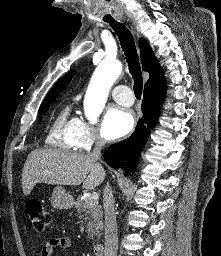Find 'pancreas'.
I'll use <instances>...</instances> for the list:
<instances>
[{
  "label": "pancreas",
  "mask_w": 221,
  "mask_h": 256,
  "mask_svg": "<svg viewBox=\"0 0 221 256\" xmlns=\"http://www.w3.org/2000/svg\"><path fill=\"white\" fill-rule=\"evenodd\" d=\"M75 208L80 217L84 218L86 221L88 220L86 224L88 238L94 239V237H99L100 230L103 227V212L101 205L90 199V197L84 199L78 197V201L75 203Z\"/></svg>",
  "instance_id": "cf45deb5"
}]
</instances>
